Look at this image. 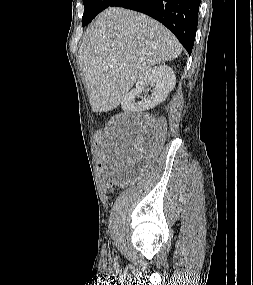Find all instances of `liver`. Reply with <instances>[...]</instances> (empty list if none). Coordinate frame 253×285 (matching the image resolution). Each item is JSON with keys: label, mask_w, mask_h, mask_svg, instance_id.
I'll return each mask as SVG.
<instances>
[{"label": "liver", "mask_w": 253, "mask_h": 285, "mask_svg": "<svg viewBox=\"0 0 253 285\" xmlns=\"http://www.w3.org/2000/svg\"><path fill=\"white\" fill-rule=\"evenodd\" d=\"M181 51L175 36L151 17L120 7L106 9L88 27L78 52L92 110L116 108L146 70Z\"/></svg>", "instance_id": "1"}]
</instances>
